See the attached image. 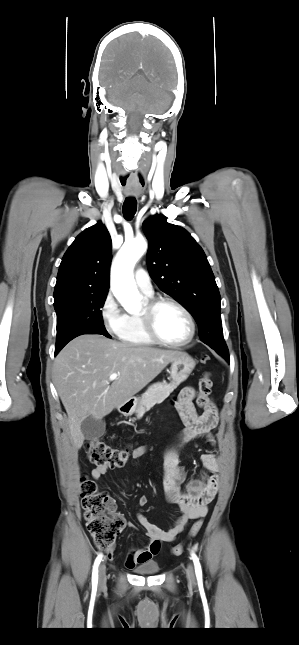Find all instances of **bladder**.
<instances>
[{"instance_id": "31cf9c89", "label": "bladder", "mask_w": 299, "mask_h": 645, "mask_svg": "<svg viewBox=\"0 0 299 645\" xmlns=\"http://www.w3.org/2000/svg\"><path fill=\"white\" fill-rule=\"evenodd\" d=\"M134 570L139 574H155L159 571V565L155 561H148L136 566Z\"/></svg>"}]
</instances>
